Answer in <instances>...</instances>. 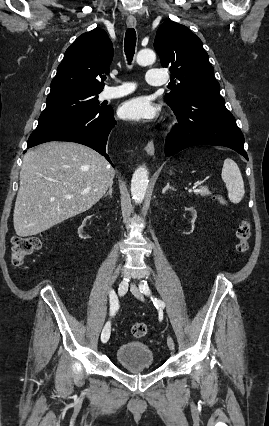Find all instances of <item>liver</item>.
I'll return each instance as SVG.
<instances>
[{"label":"liver","mask_w":269,"mask_h":426,"mask_svg":"<svg viewBox=\"0 0 269 426\" xmlns=\"http://www.w3.org/2000/svg\"><path fill=\"white\" fill-rule=\"evenodd\" d=\"M114 176L102 155L79 143L52 141L28 151L13 214L16 234L37 235L89 210Z\"/></svg>","instance_id":"6515ba94"}]
</instances>
